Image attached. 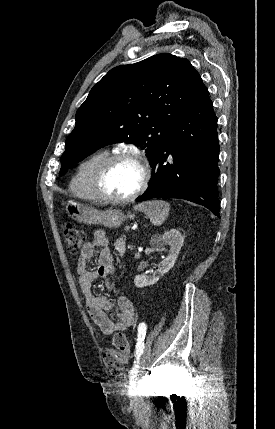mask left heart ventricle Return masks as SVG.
I'll use <instances>...</instances> for the list:
<instances>
[{
	"instance_id": "left-heart-ventricle-1",
	"label": "left heart ventricle",
	"mask_w": 275,
	"mask_h": 429,
	"mask_svg": "<svg viewBox=\"0 0 275 429\" xmlns=\"http://www.w3.org/2000/svg\"><path fill=\"white\" fill-rule=\"evenodd\" d=\"M141 169L132 160H121L112 165L105 181V191L114 197H126L132 194L141 181Z\"/></svg>"
}]
</instances>
